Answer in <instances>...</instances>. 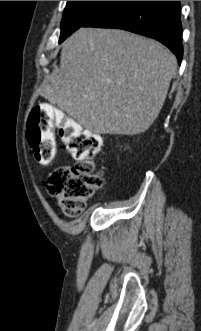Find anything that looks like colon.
<instances>
[{"label":"colon","instance_id":"1","mask_svg":"<svg viewBox=\"0 0 201 331\" xmlns=\"http://www.w3.org/2000/svg\"><path fill=\"white\" fill-rule=\"evenodd\" d=\"M55 130L75 164L56 168L47 188L58 199L62 211L74 217L85 210L88 201L103 185L104 174L93 160L101 150V139L55 107L37 105L28 118L26 135L34 158L41 164H48L55 157Z\"/></svg>","mask_w":201,"mask_h":331}]
</instances>
